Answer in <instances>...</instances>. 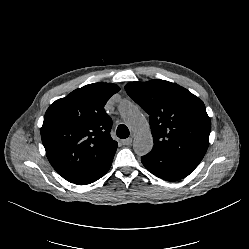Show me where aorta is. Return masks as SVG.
Masks as SVG:
<instances>
[{
    "mask_svg": "<svg viewBox=\"0 0 249 249\" xmlns=\"http://www.w3.org/2000/svg\"><path fill=\"white\" fill-rule=\"evenodd\" d=\"M120 114L134 134L133 148L137 155L148 154L153 147V137L148 121L130 101L121 102L119 105Z\"/></svg>",
    "mask_w": 249,
    "mask_h": 249,
    "instance_id": "762f6f07",
    "label": "aorta"
}]
</instances>
